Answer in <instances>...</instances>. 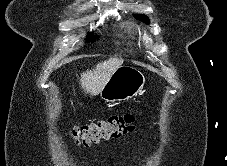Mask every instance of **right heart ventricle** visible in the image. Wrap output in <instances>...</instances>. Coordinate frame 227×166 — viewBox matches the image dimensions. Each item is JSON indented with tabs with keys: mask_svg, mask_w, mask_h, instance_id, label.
Masks as SVG:
<instances>
[{
	"mask_svg": "<svg viewBox=\"0 0 227 166\" xmlns=\"http://www.w3.org/2000/svg\"><path fill=\"white\" fill-rule=\"evenodd\" d=\"M130 36H135V34H134V33H132V32H130Z\"/></svg>",
	"mask_w": 227,
	"mask_h": 166,
	"instance_id": "1",
	"label": "right heart ventricle"
}]
</instances>
